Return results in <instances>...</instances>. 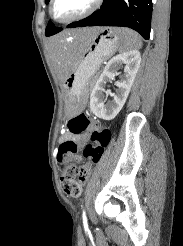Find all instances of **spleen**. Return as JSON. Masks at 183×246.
Returning a JSON list of instances; mask_svg holds the SVG:
<instances>
[{"label":"spleen","mask_w":183,"mask_h":246,"mask_svg":"<svg viewBox=\"0 0 183 246\" xmlns=\"http://www.w3.org/2000/svg\"><path fill=\"white\" fill-rule=\"evenodd\" d=\"M121 35L123 36V44L121 47V50H129L133 48H141L142 47V41L139 35L130 30V29H122ZM90 60L89 58H86L80 65V69L84 70L89 65Z\"/></svg>","instance_id":"spleen-1"}]
</instances>
